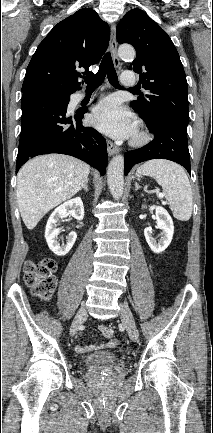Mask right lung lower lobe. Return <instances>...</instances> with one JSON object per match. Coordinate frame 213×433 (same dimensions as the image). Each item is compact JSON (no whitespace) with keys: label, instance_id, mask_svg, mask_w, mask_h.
I'll use <instances>...</instances> for the list:
<instances>
[{"label":"right lung lower lobe","instance_id":"obj_1","mask_svg":"<svg viewBox=\"0 0 213 433\" xmlns=\"http://www.w3.org/2000/svg\"><path fill=\"white\" fill-rule=\"evenodd\" d=\"M68 103L38 94H23L16 173L30 158L60 153L77 157L98 169L101 175L105 174L106 140L95 129L82 125L87 109L70 116Z\"/></svg>","mask_w":213,"mask_h":433}]
</instances>
